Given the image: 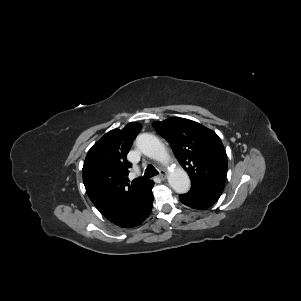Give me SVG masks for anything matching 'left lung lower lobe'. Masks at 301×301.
Returning <instances> with one entry per match:
<instances>
[{"instance_id":"obj_1","label":"left lung lower lobe","mask_w":301,"mask_h":301,"mask_svg":"<svg viewBox=\"0 0 301 301\" xmlns=\"http://www.w3.org/2000/svg\"><path fill=\"white\" fill-rule=\"evenodd\" d=\"M222 192L192 184L187 194L179 196L180 201L194 209L203 210L211 207L221 196Z\"/></svg>"}]
</instances>
